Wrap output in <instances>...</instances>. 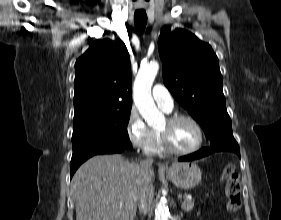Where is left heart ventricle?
I'll return each mask as SVG.
<instances>
[{"instance_id": "obj_1", "label": "left heart ventricle", "mask_w": 281, "mask_h": 220, "mask_svg": "<svg viewBox=\"0 0 281 220\" xmlns=\"http://www.w3.org/2000/svg\"><path fill=\"white\" fill-rule=\"evenodd\" d=\"M159 130H167L171 144L179 150H189L198 142V132L194 125L187 120H180L171 126H168L165 120Z\"/></svg>"}]
</instances>
